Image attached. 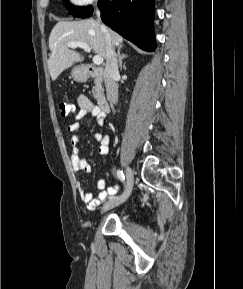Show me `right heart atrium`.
<instances>
[{"label": "right heart atrium", "mask_w": 243, "mask_h": 289, "mask_svg": "<svg viewBox=\"0 0 243 289\" xmlns=\"http://www.w3.org/2000/svg\"><path fill=\"white\" fill-rule=\"evenodd\" d=\"M70 1L77 6H87L96 2L97 0H70Z\"/></svg>", "instance_id": "right-heart-atrium-1"}]
</instances>
